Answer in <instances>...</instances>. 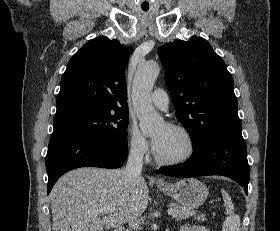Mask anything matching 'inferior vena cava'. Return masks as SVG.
I'll list each match as a JSON object with an SVG mask.
<instances>
[{"label": "inferior vena cava", "mask_w": 280, "mask_h": 231, "mask_svg": "<svg viewBox=\"0 0 280 231\" xmlns=\"http://www.w3.org/2000/svg\"><path fill=\"white\" fill-rule=\"evenodd\" d=\"M143 155L144 151L142 149L141 143L133 141V143H131L128 161L124 169V173H126L128 177H140V173L142 171Z\"/></svg>", "instance_id": "602c4592"}]
</instances>
